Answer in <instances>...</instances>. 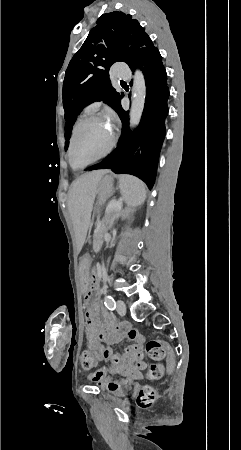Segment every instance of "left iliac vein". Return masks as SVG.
Returning <instances> with one entry per match:
<instances>
[{
	"label": "left iliac vein",
	"mask_w": 241,
	"mask_h": 450,
	"mask_svg": "<svg viewBox=\"0 0 241 450\" xmlns=\"http://www.w3.org/2000/svg\"><path fill=\"white\" fill-rule=\"evenodd\" d=\"M117 312L122 316L125 315L126 305H125L124 301H122V300L117 301Z\"/></svg>",
	"instance_id": "1"
}]
</instances>
